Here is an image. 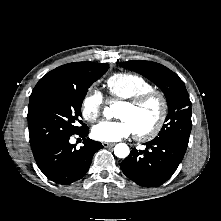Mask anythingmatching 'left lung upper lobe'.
<instances>
[{"mask_svg":"<svg viewBox=\"0 0 221 221\" xmlns=\"http://www.w3.org/2000/svg\"><path fill=\"white\" fill-rule=\"evenodd\" d=\"M120 66L140 73L154 82L166 97V123L155 139L172 140L187 147L192 121L191 102L184 82L176 73L155 62L132 60L122 62Z\"/></svg>","mask_w":221,"mask_h":221,"instance_id":"obj_1","label":"left lung upper lobe"}]
</instances>
